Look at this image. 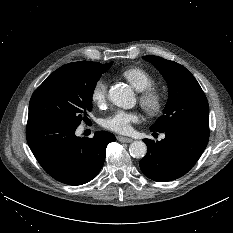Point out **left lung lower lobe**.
<instances>
[{
    "instance_id": "0a47b994",
    "label": "left lung lower lobe",
    "mask_w": 233,
    "mask_h": 233,
    "mask_svg": "<svg viewBox=\"0 0 233 233\" xmlns=\"http://www.w3.org/2000/svg\"><path fill=\"white\" fill-rule=\"evenodd\" d=\"M163 132L161 141L143 139L148 152L140 161L143 174L159 182L180 178L194 166L207 146L209 123L186 122Z\"/></svg>"
}]
</instances>
